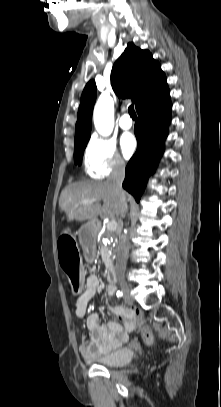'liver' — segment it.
Returning <instances> with one entry per match:
<instances>
[{"label":"liver","instance_id":"1","mask_svg":"<svg viewBox=\"0 0 221 407\" xmlns=\"http://www.w3.org/2000/svg\"><path fill=\"white\" fill-rule=\"evenodd\" d=\"M82 200H93L94 203L76 206ZM59 207L65 212L68 222L95 221L98 216L115 218L121 212V204L107 182H77L67 186L61 192Z\"/></svg>","mask_w":221,"mask_h":407}]
</instances>
